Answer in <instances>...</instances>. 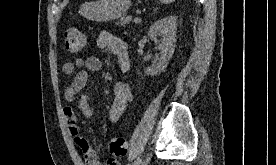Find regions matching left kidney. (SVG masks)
<instances>
[{
  "mask_svg": "<svg viewBox=\"0 0 276 165\" xmlns=\"http://www.w3.org/2000/svg\"><path fill=\"white\" fill-rule=\"evenodd\" d=\"M176 33L177 18L175 16H167L151 25L148 36L161 51V57L158 63L145 69L146 75H159L166 69L175 51ZM158 36H162L159 41L157 40Z\"/></svg>",
  "mask_w": 276,
  "mask_h": 165,
  "instance_id": "left-kidney-1",
  "label": "left kidney"
}]
</instances>
